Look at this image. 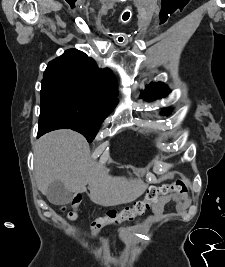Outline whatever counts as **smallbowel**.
Instances as JSON below:
<instances>
[{"label":"small bowel","mask_w":225,"mask_h":267,"mask_svg":"<svg viewBox=\"0 0 225 267\" xmlns=\"http://www.w3.org/2000/svg\"><path fill=\"white\" fill-rule=\"evenodd\" d=\"M175 202V210L178 212L185 211L190 205V197L187 193H177L172 196L160 199L153 207V217L160 215L165 205L170 201Z\"/></svg>","instance_id":"small-bowel-1"}]
</instances>
